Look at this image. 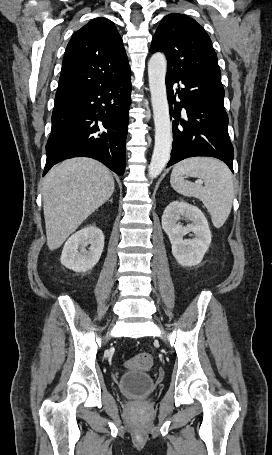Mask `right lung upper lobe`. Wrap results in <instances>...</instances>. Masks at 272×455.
Here are the masks:
<instances>
[{
  "instance_id": "right-lung-upper-lobe-1",
  "label": "right lung upper lobe",
  "mask_w": 272,
  "mask_h": 455,
  "mask_svg": "<svg viewBox=\"0 0 272 455\" xmlns=\"http://www.w3.org/2000/svg\"><path fill=\"white\" fill-rule=\"evenodd\" d=\"M130 73L122 38L114 23L95 18L76 31L67 45L55 100Z\"/></svg>"
}]
</instances>
